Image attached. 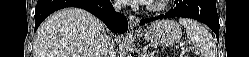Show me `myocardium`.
Returning <instances> with one entry per match:
<instances>
[{
    "mask_svg": "<svg viewBox=\"0 0 249 57\" xmlns=\"http://www.w3.org/2000/svg\"><path fill=\"white\" fill-rule=\"evenodd\" d=\"M168 2L169 0L153 1L147 4V9L150 11H160L167 6Z\"/></svg>",
    "mask_w": 249,
    "mask_h": 57,
    "instance_id": "myocardium-1",
    "label": "myocardium"
}]
</instances>
